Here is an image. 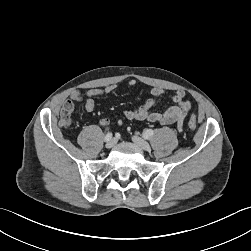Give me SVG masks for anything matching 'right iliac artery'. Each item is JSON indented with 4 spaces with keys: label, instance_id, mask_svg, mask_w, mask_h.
Returning <instances> with one entry per match:
<instances>
[{
    "label": "right iliac artery",
    "instance_id": "82829eb1",
    "mask_svg": "<svg viewBox=\"0 0 251 251\" xmlns=\"http://www.w3.org/2000/svg\"><path fill=\"white\" fill-rule=\"evenodd\" d=\"M111 138H112V133H111V132H108V133L106 134L104 140H105L106 142H108V141L111 140Z\"/></svg>",
    "mask_w": 251,
    "mask_h": 251
}]
</instances>
